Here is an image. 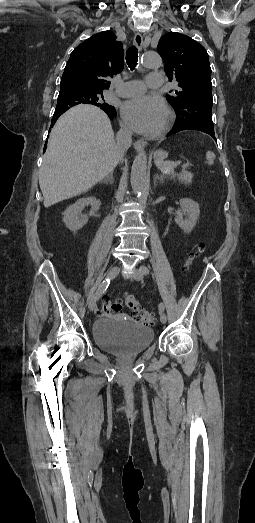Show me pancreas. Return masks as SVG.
Segmentation results:
<instances>
[{
	"instance_id": "cf45deb5",
	"label": "pancreas",
	"mask_w": 255,
	"mask_h": 523,
	"mask_svg": "<svg viewBox=\"0 0 255 523\" xmlns=\"http://www.w3.org/2000/svg\"><path fill=\"white\" fill-rule=\"evenodd\" d=\"M192 176L193 174H183V176H180V180H184V182H186V184H191V180H192Z\"/></svg>"
}]
</instances>
